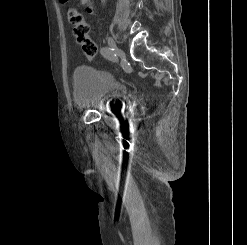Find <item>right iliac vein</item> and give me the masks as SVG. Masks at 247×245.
I'll use <instances>...</instances> for the list:
<instances>
[{"mask_svg":"<svg viewBox=\"0 0 247 245\" xmlns=\"http://www.w3.org/2000/svg\"><path fill=\"white\" fill-rule=\"evenodd\" d=\"M107 40H108L109 47L111 49H113L115 53H117L119 56L123 55V51L117 47L116 42H115L113 37L109 36ZM108 61L111 64H114L118 61V58L117 57H109Z\"/></svg>","mask_w":247,"mask_h":245,"instance_id":"obj_1","label":"right iliac vein"}]
</instances>
